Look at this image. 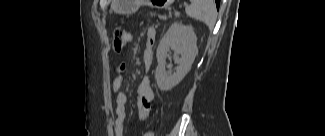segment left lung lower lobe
I'll use <instances>...</instances> for the list:
<instances>
[{
	"label": "left lung lower lobe",
	"mask_w": 325,
	"mask_h": 136,
	"mask_svg": "<svg viewBox=\"0 0 325 136\" xmlns=\"http://www.w3.org/2000/svg\"><path fill=\"white\" fill-rule=\"evenodd\" d=\"M217 8H219L220 0H215Z\"/></svg>",
	"instance_id": "1"
}]
</instances>
